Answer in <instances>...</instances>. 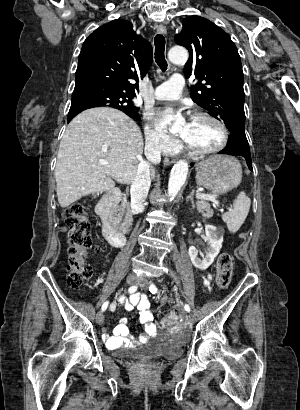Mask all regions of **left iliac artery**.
Segmentation results:
<instances>
[{
  "label": "left iliac artery",
  "mask_w": 300,
  "mask_h": 410,
  "mask_svg": "<svg viewBox=\"0 0 300 410\" xmlns=\"http://www.w3.org/2000/svg\"><path fill=\"white\" fill-rule=\"evenodd\" d=\"M149 291H150L152 294H155V293L158 292V289H157V287L152 283V284L150 285V287H149ZM184 309H185V311L190 312V307H189L188 304H185Z\"/></svg>",
  "instance_id": "obj_1"
}]
</instances>
